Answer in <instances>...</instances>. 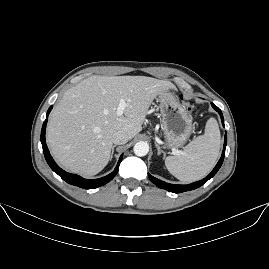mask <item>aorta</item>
Instances as JSON below:
<instances>
[{
  "label": "aorta",
  "instance_id": "aorta-1",
  "mask_svg": "<svg viewBox=\"0 0 269 269\" xmlns=\"http://www.w3.org/2000/svg\"><path fill=\"white\" fill-rule=\"evenodd\" d=\"M133 150H134L135 155L142 157V156H145L149 152V145L148 143L144 141H140L134 145Z\"/></svg>",
  "mask_w": 269,
  "mask_h": 269
}]
</instances>
